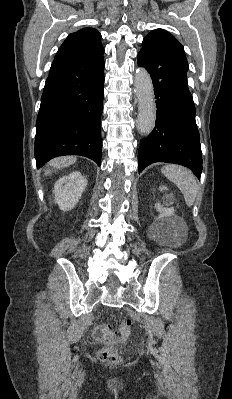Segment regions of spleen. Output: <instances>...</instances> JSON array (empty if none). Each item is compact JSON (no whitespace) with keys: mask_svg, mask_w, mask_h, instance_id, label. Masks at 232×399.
<instances>
[{"mask_svg":"<svg viewBox=\"0 0 232 399\" xmlns=\"http://www.w3.org/2000/svg\"><path fill=\"white\" fill-rule=\"evenodd\" d=\"M161 172L170 182L176 184L177 188L182 192L187 205H193L197 198L198 186L191 170H187L183 166L167 164V166H163Z\"/></svg>","mask_w":232,"mask_h":399,"instance_id":"1","label":"spleen"}]
</instances>
